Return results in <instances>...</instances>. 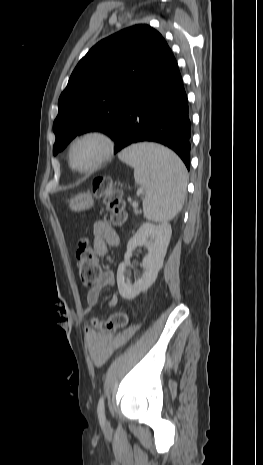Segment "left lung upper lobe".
<instances>
[{"mask_svg":"<svg viewBox=\"0 0 263 465\" xmlns=\"http://www.w3.org/2000/svg\"><path fill=\"white\" fill-rule=\"evenodd\" d=\"M167 46L159 32L140 24L92 47L60 95L53 154L87 131H102L114 139L137 81Z\"/></svg>","mask_w":263,"mask_h":465,"instance_id":"left-lung-upper-lobe-1","label":"left lung upper lobe"}]
</instances>
